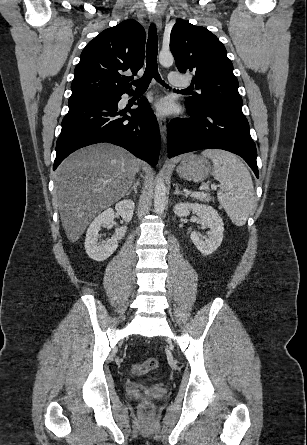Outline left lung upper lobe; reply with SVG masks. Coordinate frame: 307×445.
<instances>
[{
  "label": "left lung upper lobe",
  "instance_id": "5c2ea615",
  "mask_svg": "<svg viewBox=\"0 0 307 445\" xmlns=\"http://www.w3.org/2000/svg\"><path fill=\"white\" fill-rule=\"evenodd\" d=\"M170 49L178 70L195 74L191 84L199 93L186 99L188 111L225 109L242 113L233 65L214 34L204 27L178 20L171 31Z\"/></svg>",
  "mask_w": 307,
  "mask_h": 445
}]
</instances>
